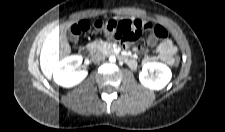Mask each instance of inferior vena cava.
<instances>
[{
	"mask_svg": "<svg viewBox=\"0 0 225 132\" xmlns=\"http://www.w3.org/2000/svg\"><path fill=\"white\" fill-rule=\"evenodd\" d=\"M102 60H103V57H100V56H99V57H98V56L95 57V62H96V63H99V62L102 61Z\"/></svg>",
	"mask_w": 225,
	"mask_h": 132,
	"instance_id": "602c4592",
	"label": "inferior vena cava"
}]
</instances>
